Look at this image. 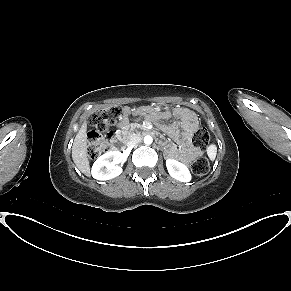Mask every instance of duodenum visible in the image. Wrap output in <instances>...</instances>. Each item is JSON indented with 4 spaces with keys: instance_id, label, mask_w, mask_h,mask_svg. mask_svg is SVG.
Returning a JSON list of instances; mask_svg holds the SVG:
<instances>
[{
    "instance_id": "1",
    "label": "duodenum",
    "mask_w": 291,
    "mask_h": 291,
    "mask_svg": "<svg viewBox=\"0 0 291 291\" xmlns=\"http://www.w3.org/2000/svg\"><path fill=\"white\" fill-rule=\"evenodd\" d=\"M141 130L146 135H149L151 138H155L160 145H166L168 140L161 134H157L155 131H152L150 128L143 126L141 123H132L128 125L125 129L121 128L117 131V135L114 136V139L111 141L110 146L114 149H120L124 146L123 136L126 133H131L133 131Z\"/></svg>"
}]
</instances>
